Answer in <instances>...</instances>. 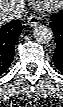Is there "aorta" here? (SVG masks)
Returning a JSON list of instances; mask_svg holds the SVG:
<instances>
[{"label":"aorta","mask_w":63,"mask_h":107,"mask_svg":"<svg viewBox=\"0 0 63 107\" xmlns=\"http://www.w3.org/2000/svg\"><path fill=\"white\" fill-rule=\"evenodd\" d=\"M33 37L37 43L48 44L53 38V31L48 26L39 25L34 28Z\"/></svg>","instance_id":"1"}]
</instances>
